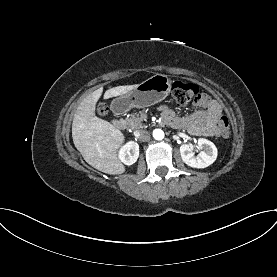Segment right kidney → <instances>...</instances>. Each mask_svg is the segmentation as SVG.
Listing matches in <instances>:
<instances>
[{
    "instance_id": "right-kidney-1",
    "label": "right kidney",
    "mask_w": 277,
    "mask_h": 277,
    "mask_svg": "<svg viewBox=\"0 0 277 277\" xmlns=\"http://www.w3.org/2000/svg\"><path fill=\"white\" fill-rule=\"evenodd\" d=\"M138 157L139 145L134 141L127 142L119 151V158L126 165L134 164Z\"/></svg>"
}]
</instances>
